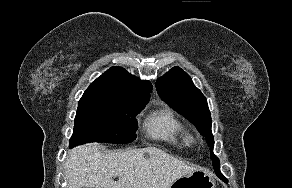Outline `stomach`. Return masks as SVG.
Wrapping results in <instances>:
<instances>
[{
  "instance_id": "obj_1",
  "label": "stomach",
  "mask_w": 292,
  "mask_h": 188,
  "mask_svg": "<svg viewBox=\"0 0 292 188\" xmlns=\"http://www.w3.org/2000/svg\"><path fill=\"white\" fill-rule=\"evenodd\" d=\"M169 188H215V181L211 173L197 169L175 180Z\"/></svg>"
}]
</instances>
